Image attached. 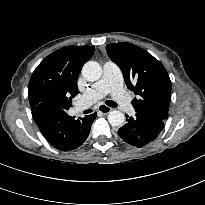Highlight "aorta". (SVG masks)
I'll use <instances>...</instances> for the list:
<instances>
[{
    "label": "aorta",
    "mask_w": 205,
    "mask_h": 205,
    "mask_svg": "<svg viewBox=\"0 0 205 205\" xmlns=\"http://www.w3.org/2000/svg\"><path fill=\"white\" fill-rule=\"evenodd\" d=\"M82 76L87 81H97L102 76V67L98 62L88 61L82 68ZM108 122L114 127H120L125 122V116L118 110H112L108 114Z\"/></svg>",
    "instance_id": "obj_1"
}]
</instances>
